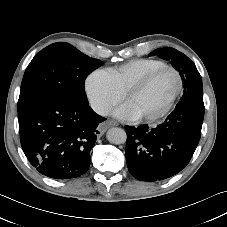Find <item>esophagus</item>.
<instances>
[{
    "label": "esophagus",
    "instance_id": "esophagus-1",
    "mask_svg": "<svg viewBox=\"0 0 227 227\" xmlns=\"http://www.w3.org/2000/svg\"><path fill=\"white\" fill-rule=\"evenodd\" d=\"M108 125H109V126H117L118 123L115 122V121L110 120V121H108ZM101 133H102V132H101Z\"/></svg>",
    "mask_w": 227,
    "mask_h": 227
}]
</instances>
